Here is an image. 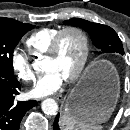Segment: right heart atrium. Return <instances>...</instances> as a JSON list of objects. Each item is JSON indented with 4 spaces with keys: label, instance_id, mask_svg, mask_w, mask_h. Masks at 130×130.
<instances>
[{
    "label": "right heart atrium",
    "instance_id": "1",
    "mask_svg": "<svg viewBox=\"0 0 130 130\" xmlns=\"http://www.w3.org/2000/svg\"><path fill=\"white\" fill-rule=\"evenodd\" d=\"M10 62L13 71L20 79L24 81H33L35 79L31 60L23 51L14 49L11 53Z\"/></svg>",
    "mask_w": 130,
    "mask_h": 130
}]
</instances>
